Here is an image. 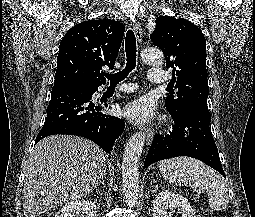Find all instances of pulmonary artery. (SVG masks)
<instances>
[{
    "mask_svg": "<svg viewBox=\"0 0 255 217\" xmlns=\"http://www.w3.org/2000/svg\"><path fill=\"white\" fill-rule=\"evenodd\" d=\"M148 79L152 83L164 84L167 80V75L161 69L153 68L148 73ZM120 90L125 92H132L135 90V86L134 85L125 86L120 88Z\"/></svg>",
    "mask_w": 255,
    "mask_h": 217,
    "instance_id": "e3ab8cb5",
    "label": "pulmonary artery"
}]
</instances>
